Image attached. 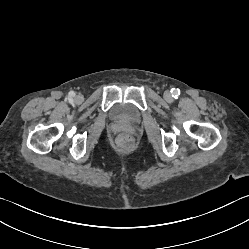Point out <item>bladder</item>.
I'll use <instances>...</instances> for the list:
<instances>
[{"mask_svg":"<svg viewBox=\"0 0 249 249\" xmlns=\"http://www.w3.org/2000/svg\"><path fill=\"white\" fill-rule=\"evenodd\" d=\"M111 117L123 123H136L141 119V111L131 103L120 102L115 104L110 111Z\"/></svg>","mask_w":249,"mask_h":249,"instance_id":"obj_1","label":"bladder"}]
</instances>
